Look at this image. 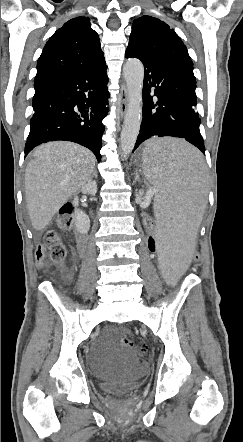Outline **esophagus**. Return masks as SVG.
Returning a JSON list of instances; mask_svg holds the SVG:
<instances>
[{"label":"esophagus","instance_id":"obj_1","mask_svg":"<svg viewBox=\"0 0 243 442\" xmlns=\"http://www.w3.org/2000/svg\"><path fill=\"white\" fill-rule=\"evenodd\" d=\"M128 105V92L125 87L122 88L121 99L119 103V113L120 116L123 117L127 111Z\"/></svg>","mask_w":243,"mask_h":442}]
</instances>
